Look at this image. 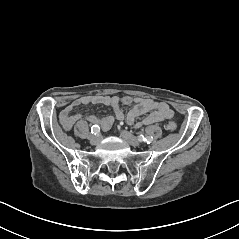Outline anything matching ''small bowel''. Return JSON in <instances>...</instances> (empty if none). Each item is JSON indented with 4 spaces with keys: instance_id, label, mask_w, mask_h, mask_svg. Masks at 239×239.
Returning a JSON list of instances; mask_svg holds the SVG:
<instances>
[{
    "instance_id": "c3829d8e",
    "label": "small bowel",
    "mask_w": 239,
    "mask_h": 239,
    "mask_svg": "<svg viewBox=\"0 0 239 239\" xmlns=\"http://www.w3.org/2000/svg\"><path fill=\"white\" fill-rule=\"evenodd\" d=\"M120 102L131 106L126 116L120 108ZM89 104L110 106L112 114L105 117L82 113L73 114V110L76 107ZM143 115L146 116L140 122H137V118ZM173 117L174 111L164 101L132 96H124L120 99L118 96L90 95L80 97L67 105L60 114V121L65 130H70L72 126L80 120H85L91 124L98 125L99 128L101 127L103 130H107L113 125L115 120H123L124 118H126L129 124L139 127L161 122Z\"/></svg>"
}]
</instances>
